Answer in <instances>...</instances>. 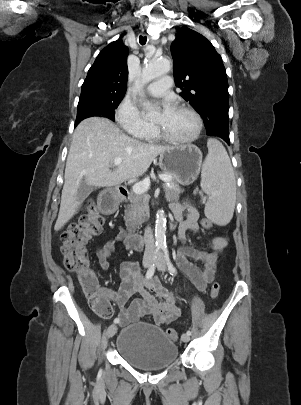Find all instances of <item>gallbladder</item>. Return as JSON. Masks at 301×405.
I'll return each instance as SVG.
<instances>
[{
  "mask_svg": "<svg viewBox=\"0 0 301 405\" xmlns=\"http://www.w3.org/2000/svg\"><path fill=\"white\" fill-rule=\"evenodd\" d=\"M94 186L87 185L85 182H82L79 186L77 199L79 202H83L93 191Z\"/></svg>",
  "mask_w": 301,
  "mask_h": 405,
  "instance_id": "obj_1",
  "label": "gallbladder"
}]
</instances>
